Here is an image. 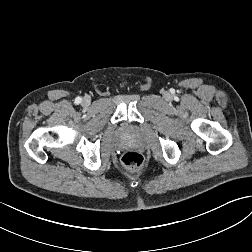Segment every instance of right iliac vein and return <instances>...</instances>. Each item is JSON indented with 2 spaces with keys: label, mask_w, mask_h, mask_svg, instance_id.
I'll use <instances>...</instances> for the list:
<instances>
[{
  "label": "right iliac vein",
  "mask_w": 252,
  "mask_h": 252,
  "mask_svg": "<svg viewBox=\"0 0 252 252\" xmlns=\"http://www.w3.org/2000/svg\"><path fill=\"white\" fill-rule=\"evenodd\" d=\"M90 103H91V101H90V98H89V97H85V98L82 100V106H84V107L89 106Z\"/></svg>",
  "instance_id": "63e3f726"
}]
</instances>
